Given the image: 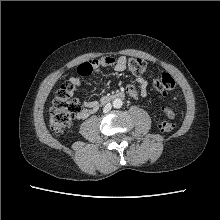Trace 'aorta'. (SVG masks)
<instances>
[{"mask_svg": "<svg viewBox=\"0 0 220 220\" xmlns=\"http://www.w3.org/2000/svg\"><path fill=\"white\" fill-rule=\"evenodd\" d=\"M123 105V101L119 98L114 99L113 101V107L114 108H121Z\"/></svg>", "mask_w": 220, "mask_h": 220, "instance_id": "762f6f07", "label": "aorta"}]
</instances>
